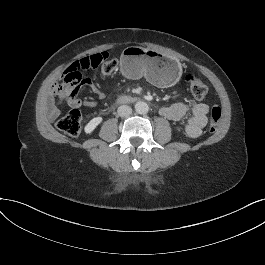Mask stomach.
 <instances>
[{
  "instance_id": "obj_1",
  "label": "stomach",
  "mask_w": 265,
  "mask_h": 265,
  "mask_svg": "<svg viewBox=\"0 0 265 265\" xmlns=\"http://www.w3.org/2000/svg\"><path fill=\"white\" fill-rule=\"evenodd\" d=\"M120 66L125 77L138 79L144 76L160 87L175 85L182 72L181 64L176 58L139 46L124 49L120 57Z\"/></svg>"
}]
</instances>
